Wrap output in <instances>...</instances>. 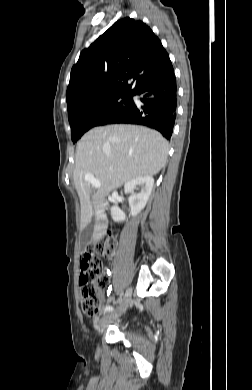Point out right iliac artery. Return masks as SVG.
<instances>
[{
  "mask_svg": "<svg viewBox=\"0 0 252 390\" xmlns=\"http://www.w3.org/2000/svg\"><path fill=\"white\" fill-rule=\"evenodd\" d=\"M113 307L112 306H110V305H108V306H106L105 308H104V311L105 312H110V311H113ZM126 315H131V312H126Z\"/></svg>",
  "mask_w": 252,
  "mask_h": 390,
  "instance_id": "1",
  "label": "right iliac artery"
}]
</instances>
